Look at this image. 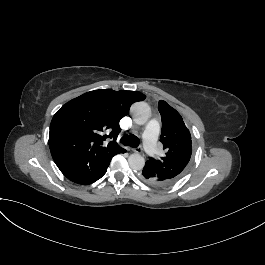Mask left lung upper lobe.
I'll return each mask as SVG.
<instances>
[{"label": "left lung upper lobe", "mask_w": 265, "mask_h": 265, "mask_svg": "<svg viewBox=\"0 0 265 265\" xmlns=\"http://www.w3.org/2000/svg\"><path fill=\"white\" fill-rule=\"evenodd\" d=\"M162 118L160 141L167 153L160 159L150 158L147 166L165 185L176 182L185 172L192 154V141L181 115L167 102L159 101Z\"/></svg>", "instance_id": "5c2ea615"}]
</instances>
